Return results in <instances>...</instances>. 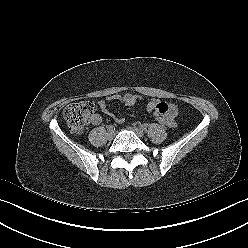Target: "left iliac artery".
Segmentation results:
<instances>
[{
  "label": "left iliac artery",
  "mask_w": 248,
  "mask_h": 248,
  "mask_svg": "<svg viewBox=\"0 0 248 248\" xmlns=\"http://www.w3.org/2000/svg\"><path fill=\"white\" fill-rule=\"evenodd\" d=\"M140 129L146 131L147 130V126L144 124V125H140Z\"/></svg>",
  "instance_id": "obj_1"
}]
</instances>
